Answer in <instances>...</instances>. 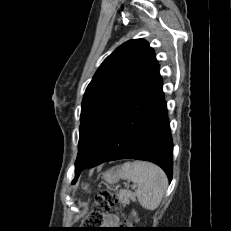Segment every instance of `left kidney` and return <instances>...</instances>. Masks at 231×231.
<instances>
[{
	"instance_id": "5707ae66",
	"label": "left kidney",
	"mask_w": 231,
	"mask_h": 231,
	"mask_svg": "<svg viewBox=\"0 0 231 231\" xmlns=\"http://www.w3.org/2000/svg\"><path fill=\"white\" fill-rule=\"evenodd\" d=\"M132 215H133V216H136V212L133 211V212H132Z\"/></svg>"
}]
</instances>
